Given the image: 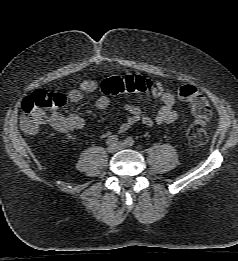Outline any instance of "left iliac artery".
<instances>
[{"label": "left iliac artery", "mask_w": 238, "mask_h": 261, "mask_svg": "<svg viewBox=\"0 0 238 261\" xmlns=\"http://www.w3.org/2000/svg\"><path fill=\"white\" fill-rule=\"evenodd\" d=\"M125 143L128 146H133L135 141H134V139L132 137H128V138H126Z\"/></svg>", "instance_id": "left-iliac-artery-1"}]
</instances>
